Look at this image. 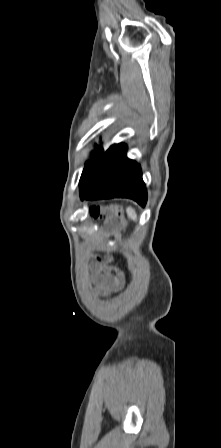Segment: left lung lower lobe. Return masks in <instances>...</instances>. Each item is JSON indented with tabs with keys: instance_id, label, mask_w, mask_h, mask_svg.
<instances>
[{
	"instance_id": "0a47b994",
	"label": "left lung lower lobe",
	"mask_w": 221,
	"mask_h": 448,
	"mask_svg": "<svg viewBox=\"0 0 221 448\" xmlns=\"http://www.w3.org/2000/svg\"><path fill=\"white\" fill-rule=\"evenodd\" d=\"M126 151V145L120 144L84 168L79 182L82 200L123 197L145 206L147 192L141 168L126 157Z\"/></svg>"
}]
</instances>
